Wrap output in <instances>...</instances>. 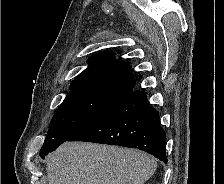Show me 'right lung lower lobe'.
I'll use <instances>...</instances> for the list:
<instances>
[{
  "label": "right lung lower lobe",
  "instance_id": "obj_1",
  "mask_svg": "<svg viewBox=\"0 0 224 184\" xmlns=\"http://www.w3.org/2000/svg\"><path fill=\"white\" fill-rule=\"evenodd\" d=\"M67 141L137 148L167 162L166 133L160 126L159 114L149 105L145 92L140 90L130 91L98 120ZM58 146L40 152V157L44 159Z\"/></svg>",
  "mask_w": 224,
  "mask_h": 184
}]
</instances>
